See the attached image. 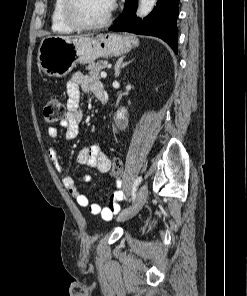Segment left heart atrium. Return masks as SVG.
Returning a JSON list of instances; mask_svg holds the SVG:
<instances>
[{"label":"left heart atrium","instance_id":"left-heart-atrium-1","mask_svg":"<svg viewBox=\"0 0 247 296\" xmlns=\"http://www.w3.org/2000/svg\"><path fill=\"white\" fill-rule=\"evenodd\" d=\"M107 3H108V7L111 11L116 5V0H107Z\"/></svg>","mask_w":247,"mask_h":296}]
</instances>
